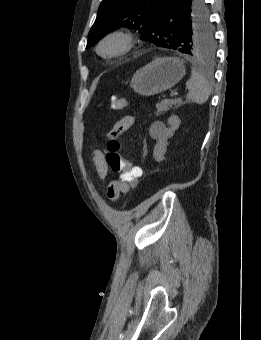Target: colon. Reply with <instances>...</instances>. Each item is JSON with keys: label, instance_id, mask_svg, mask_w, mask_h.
Masks as SVG:
<instances>
[{"label": "colon", "instance_id": "obj_1", "mask_svg": "<svg viewBox=\"0 0 261 340\" xmlns=\"http://www.w3.org/2000/svg\"><path fill=\"white\" fill-rule=\"evenodd\" d=\"M126 105V99L112 97V109L119 110ZM120 150L121 142L117 139L110 140L107 144L106 162L114 172L121 174V179L131 188H138L141 170L138 167L131 166L129 161L121 156Z\"/></svg>", "mask_w": 261, "mask_h": 340}]
</instances>
